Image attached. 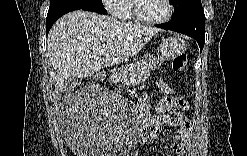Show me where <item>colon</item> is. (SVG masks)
I'll list each match as a JSON object with an SVG mask.
<instances>
[{
  "mask_svg": "<svg viewBox=\"0 0 247 156\" xmlns=\"http://www.w3.org/2000/svg\"><path fill=\"white\" fill-rule=\"evenodd\" d=\"M186 65V54H179L172 61V69L175 72H182ZM170 106H174V101H171V98H159V101H155V104L151 107V112H156L155 120L159 121L160 118H164L165 114L161 113L162 109H170Z\"/></svg>",
  "mask_w": 247,
  "mask_h": 156,
  "instance_id": "1",
  "label": "colon"
}]
</instances>
